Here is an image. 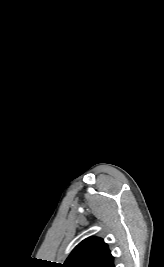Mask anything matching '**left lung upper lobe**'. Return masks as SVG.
<instances>
[{
    "mask_svg": "<svg viewBox=\"0 0 164 267\" xmlns=\"http://www.w3.org/2000/svg\"><path fill=\"white\" fill-rule=\"evenodd\" d=\"M113 261L107 244L98 237H89L79 243L63 267H108Z\"/></svg>",
    "mask_w": 164,
    "mask_h": 267,
    "instance_id": "5c2ea615",
    "label": "left lung upper lobe"
}]
</instances>
